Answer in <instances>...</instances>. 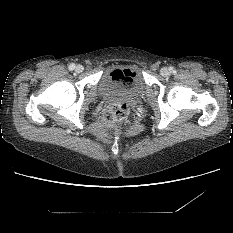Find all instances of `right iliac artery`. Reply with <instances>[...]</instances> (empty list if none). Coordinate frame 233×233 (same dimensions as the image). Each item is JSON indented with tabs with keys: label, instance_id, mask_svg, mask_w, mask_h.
I'll use <instances>...</instances> for the list:
<instances>
[{
	"label": "right iliac artery",
	"instance_id": "obj_1",
	"mask_svg": "<svg viewBox=\"0 0 233 233\" xmlns=\"http://www.w3.org/2000/svg\"><path fill=\"white\" fill-rule=\"evenodd\" d=\"M74 69H75V64L71 63V64L69 65V70H74Z\"/></svg>",
	"mask_w": 233,
	"mask_h": 233
}]
</instances>
